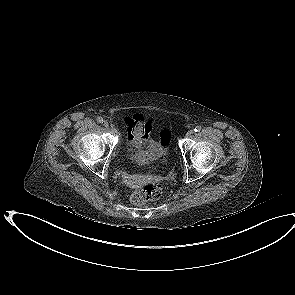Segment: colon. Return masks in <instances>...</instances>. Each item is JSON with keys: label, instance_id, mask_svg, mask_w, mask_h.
I'll list each match as a JSON object with an SVG mask.
<instances>
[{"label": "colon", "instance_id": "colon-1", "mask_svg": "<svg viewBox=\"0 0 295 295\" xmlns=\"http://www.w3.org/2000/svg\"><path fill=\"white\" fill-rule=\"evenodd\" d=\"M171 133L164 130L161 133V141L167 148L170 142ZM163 187L157 181H151L140 186L131 196V201L136 205H143L149 201L157 200L162 195Z\"/></svg>", "mask_w": 295, "mask_h": 295}]
</instances>
